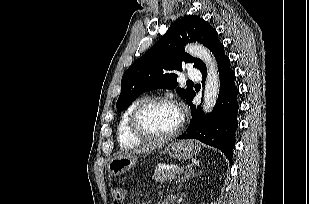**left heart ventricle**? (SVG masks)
I'll return each mask as SVG.
<instances>
[{
  "label": "left heart ventricle",
  "instance_id": "obj_1",
  "mask_svg": "<svg viewBox=\"0 0 309 204\" xmlns=\"http://www.w3.org/2000/svg\"><path fill=\"white\" fill-rule=\"evenodd\" d=\"M180 112L168 105H155L148 108L141 117L143 127L153 134H165L179 123Z\"/></svg>",
  "mask_w": 309,
  "mask_h": 204
}]
</instances>
